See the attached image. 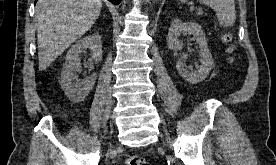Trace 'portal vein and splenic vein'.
<instances>
[{
    "label": "portal vein and splenic vein",
    "mask_w": 276,
    "mask_h": 165,
    "mask_svg": "<svg viewBox=\"0 0 276 165\" xmlns=\"http://www.w3.org/2000/svg\"><path fill=\"white\" fill-rule=\"evenodd\" d=\"M191 9H193V7H191ZM201 13H203V10H202V8H199L198 9V14H201Z\"/></svg>",
    "instance_id": "portal-vein-and-splenic-vein-1"
}]
</instances>
